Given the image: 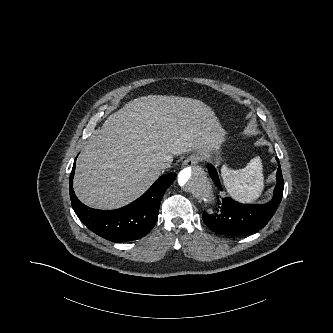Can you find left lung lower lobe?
Instances as JSON below:
<instances>
[{
	"label": "left lung lower lobe",
	"instance_id": "0a47b994",
	"mask_svg": "<svg viewBox=\"0 0 333 333\" xmlns=\"http://www.w3.org/2000/svg\"><path fill=\"white\" fill-rule=\"evenodd\" d=\"M278 161V158H277ZM209 174L219 190L221 184L215 168L208 165ZM284 182L279 164L277 184L273 199L266 204H241L229 197H218L217 209L214 214L203 213L204 223L214 232L242 236L262 229L276 212L283 196Z\"/></svg>",
	"mask_w": 333,
	"mask_h": 333
}]
</instances>
